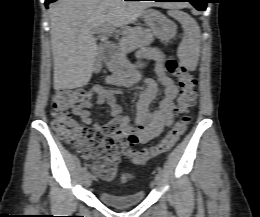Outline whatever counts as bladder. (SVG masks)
<instances>
[{"instance_id":"obj_1","label":"bladder","mask_w":260,"mask_h":217,"mask_svg":"<svg viewBox=\"0 0 260 217\" xmlns=\"http://www.w3.org/2000/svg\"><path fill=\"white\" fill-rule=\"evenodd\" d=\"M132 176L130 174L124 173L120 176V182L126 183L128 182ZM99 199L112 207H127L132 205L140 204L145 199L144 191H137L130 194H114L106 190H101L98 193Z\"/></svg>"}]
</instances>
